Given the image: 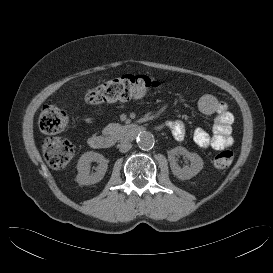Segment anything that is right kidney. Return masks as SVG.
<instances>
[{"label":"right kidney","instance_id":"1","mask_svg":"<svg viewBox=\"0 0 273 273\" xmlns=\"http://www.w3.org/2000/svg\"><path fill=\"white\" fill-rule=\"evenodd\" d=\"M97 162V171L94 174H90V163ZM107 160L103 155L88 151L82 154L77 163L78 174L76 181L80 185H92L103 179L107 170Z\"/></svg>","mask_w":273,"mask_h":273}]
</instances>
